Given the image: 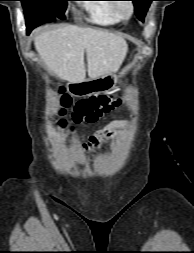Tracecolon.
<instances>
[{"mask_svg": "<svg viewBox=\"0 0 194 253\" xmlns=\"http://www.w3.org/2000/svg\"><path fill=\"white\" fill-rule=\"evenodd\" d=\"M63 105L69 107L71 100L68 96H63ZM121 100L112 95H95L77 101L72 111V121L74 124H90L96 122L103 115L108 114L118 107ZM65 125V122H61Z\"/></svg>", "mask_w": 194, "mask_h": 253, "instance_id": "5ec220e1", "label": "colon"}]
</instances>
